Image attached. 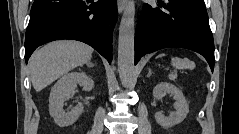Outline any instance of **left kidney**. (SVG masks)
<instances>
[{
  "mask_svg": "<svg viewBox=\"0 0 239 134\" xmlns=\"http://www.w3.org/2000/svg\"><path fill=\"white\" fill-rule=\"evenodd\" d=\"M166 94L173 95L174 99L176 100V111L171 113L169 116H165L162 112L155 113L156 122L163 128H169L181 123L189 112V105L182 91L175 85L167 82H161L157 84L153 89L154 99L159 100Z\"/></svg>",
  "mask_w": 239,
  "mask_h": 134,
  "instance_id": "obj_1",
  "label": "left kidney"
}]
</instances>
